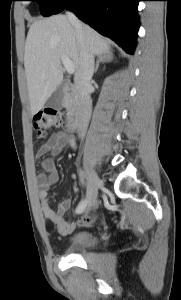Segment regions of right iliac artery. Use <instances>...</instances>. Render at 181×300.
I'll use <instances>...</instances> for the list:
<instances>
[{
	"mask_svg": "<svg viewBox=\"0 0 181 300\" xmlns=\"http://www.w3.org/2000/svg\"><path fill=\"white\" fill-rule=\"evenodd\" d=\"M87 203H88V200H87V199L82 200V202H80V204H79L78 207L76 208V213H77V214L82 213V212L85 210V208H86V206H87Z\"/></svg>",
	"mask_w": 181,
	"mask_h": 300,
	"instance_id": "obj_1",
	"label": "right iliac artery"
}]
</instances>
